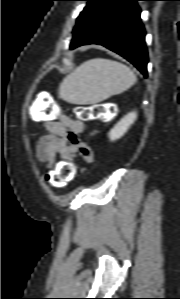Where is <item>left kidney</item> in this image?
Listing matches in <instances>:
<instances>
[{"instance_id":"1","label":"left kidney","mask_w":180,"mask_h":299,"mask_svg":"<svg viewBox=\"0 0 180 299\" xmlns=\"http://www.w3.org/2000/svg\"><path fill=\"white\" fill-rule=\"evenodd\" d=\"M137 118L136 112H130L125 115L109 132V138L111 141L121 138L129 129V127L135 122Z\"/></svg>"}]
</instances>
